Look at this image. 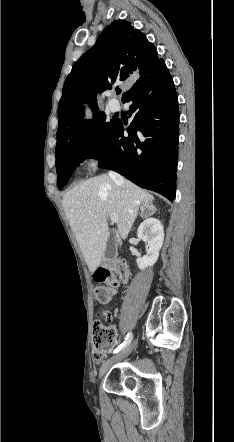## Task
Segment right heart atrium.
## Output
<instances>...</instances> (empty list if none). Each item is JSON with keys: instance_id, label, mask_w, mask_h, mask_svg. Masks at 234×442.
Wrapping results in <instances>:
<instances>
[{"instance_id": "1", "label": "right heart atrium", "mask_w": 234, "mask_h": 442, "mask_svg": "<svg viewBox=\"0 0 234 442\" xmlns=\"http://www.w3.org/2000/svg\"><path fill=\"white\" fill-rule=\"evenodd\" d=\"M85 145L87 148V167L90 170H95L102 149L98 132L93 131L88 133L85 139Z\"/></svg>"}]
</instances>
